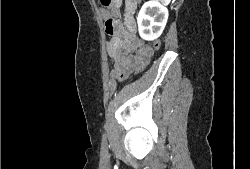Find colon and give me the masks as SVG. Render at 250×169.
I'll list each match as a JSON object with an SVG mask.
<instances>
[{
  "label": "colon",
  "mask_w": 250,
  "mask_h": 169,
  "mask_svg": "<svg viewBox=\"0 0 250 169\" xmlns=\"http://www.w3.org/2000/svg\"><path fill=\"white\" fill-rule=\"evenodd\" d=\"M132 2L133 3L136 2L137 5L139 4L138 0H136V1L133 0ZM101 3H102V5L104 7H114V6H118L119 5V1L118 0H101ZM106 30H107L108 33H112L114 31H119L120 30L119 22L118 21H113V20L108 21L106 23ZM160 47H161L160 40L159 39H155L154 42H153L152 48H151V49H153V54L156 53L160 49ZM153 54H148V55L151 56ZM147 63L139 66L136 69V74H141V72H145V68L147 67L146 66ZM132 75L134 76L135 74L133 73Z\"/></svg>",
  "instance_id": "colon-1"
}]
</instances>
